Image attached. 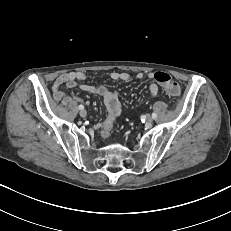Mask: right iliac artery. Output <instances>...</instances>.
I'll use <instances>...</instances> for the list:
<instances>
[{"instance_id": "obj_1", "label": "right iliac artery", "mask_w": 231, "mask_h": 231, "mask_svg": "<svg viewBox=\"0 0 231 231\" xmlns=\"http://www.w3.org/2000/svg\"><path fill=\"white\" fill-rule=\"evenodd\" d=\"M80 110L84 109V106L83 105H79L78 107Z\"/></svg>"}]
</instances>
